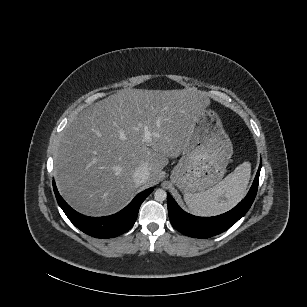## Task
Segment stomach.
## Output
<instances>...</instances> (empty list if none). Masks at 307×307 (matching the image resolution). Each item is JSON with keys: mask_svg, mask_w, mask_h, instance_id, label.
<instances>
[{"mask_svg": "<svg viewBox=\"0 0 307 307\" xmlns=\"http://www.w3.org/2000/svg\"><path fill=\"white\" fill-rule=\"evenodd\" d=\"M233 155L232 142L216 110L201 107L171 180L183 193H197L217 184Z\"/></svg>", "mask_w": 307, "mask_h": 307, "instance_id": "stomach-1", "label": "stomach"}]
</instances>
